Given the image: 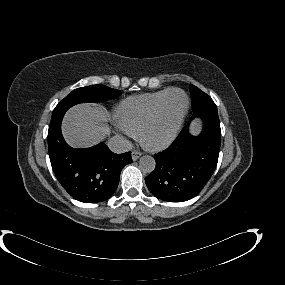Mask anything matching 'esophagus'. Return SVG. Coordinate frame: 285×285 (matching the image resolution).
<instances>
[{
	"label": "esophagus",
	"instance_id": "esophagus-1",
	"mask_svg": "<svg viewBox=\"0 0 285 285\" xmlns=\"http://www.w3.org/2000/svg\"><path fill=\"white\" fill-rule=\"evenodd\" d=\"M142 155V152L134 150L132 151V159L136 161L140 156Z\"/></svg>",
	"mask_w": 285,
	"mask_h": 285
}]
</instances>
